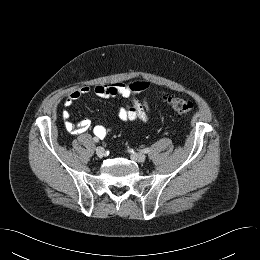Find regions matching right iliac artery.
<instances>
[{"instance_id":"82829eb1","label":"right iliac artery","mask_w":260,"mask_h":260,"mask_svg":"<svg viewBox=\"0 0 260 260\" xmlns=\"http://www.w3.org/2000/svg\"><path fill=\"white\" fill-rule=\"evenodd\" d=\"M94 141H95V142H98V138H94Z\"/></svg>"}]
</instances>
